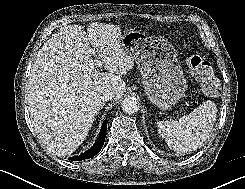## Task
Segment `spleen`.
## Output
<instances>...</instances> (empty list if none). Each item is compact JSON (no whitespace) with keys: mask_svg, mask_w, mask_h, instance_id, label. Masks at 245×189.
Returning <instances> with one entry per match:
<instances>
[{"mask_svg":"<svg viewBox=\"0 0 245 189\" xmlns=\"http://www.w3.org/2000/svg\"><path fill=\"white\" fill-rule=\"evenodd\" d=\"M217 111L214 102L205 101L179 120L157 122L158 132L171 150L190 153L202 146L210 136Z\"/></svg>","mask_w":245,"mask_h":189,"instance_id":"1","label":"spleen"}]
</instances>
